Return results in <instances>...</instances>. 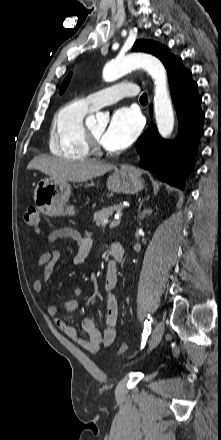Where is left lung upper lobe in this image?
I'll list each match as a JSON object with an SVG mask.
<instances>
[{"label":"left lung upper lobe","instance_id":"left-lung-upper-lobe-1","mask_svg":"<svg viewBox=\"0 0 221 440\" xmlns=\"http://www.w3.org/2000/svg\"><path fill=\"white\" fill-rule=\"evenodd\" d=\"M132 50L151 53V54L157 56L162 62L165 60V58L169 54L167 52L165 46H162L159 43L149 41V40L136 41ZM70 78H71V74H69L65 78V80L63 81L62 86L60 88V94H62L65 91V89L67 88L69 81H70Z\"/></svg>","mask_w":221,"mask_h":440}]
</instances>
